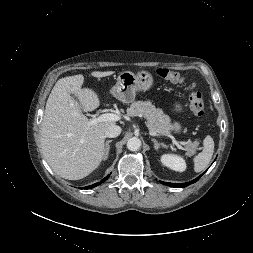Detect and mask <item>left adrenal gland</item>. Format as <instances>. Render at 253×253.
Returning a JSON list of instances; mask_svg holds the SVG:
<instances>
[{
    "label": "left adrenal gland",
    "mask_w": 253,
    "mask_h": 253,
    "mask_svg": "<svg viewBox=\"0 0 253 253\" xmlns=\"http://www.w3.org/2000/svg\"><path fill=\"white\" fill-rule=\"evenodd\" d=\"M151 140L154 143V149L155 150H158L160 148V146L165 147V148L167 147L164 143L158 142L156 139H151Z\"/></svg>",
    "instance_id": "left-adrenal-gland-1"
}]
</instances>
